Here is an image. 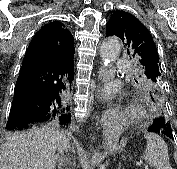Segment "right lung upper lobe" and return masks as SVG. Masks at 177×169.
<instances>
[{"instance_id":"right-lung-upper-lobe-1","label":"right lung upper lobe","mask_w":177,"mask_h":169,"mask_svg":"<svg viewBox=\"0 0 177 169\" xmlns=\"http://www.w3.org/2000/svg\"><path fill=\"white\" fill-rule=\"evenodd\" d=\"M73 42V36L62 23L50 22L34 35L24 60L49 64H72L75 51Z\"/></svg>"}]
</instances>
